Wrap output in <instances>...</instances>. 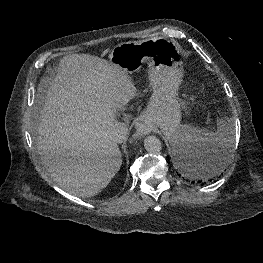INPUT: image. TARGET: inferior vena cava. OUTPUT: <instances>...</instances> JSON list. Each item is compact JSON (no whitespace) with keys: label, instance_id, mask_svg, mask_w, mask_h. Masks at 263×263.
I'll list each match as a JSON object with an SVG mask.
<instances>
[{"label":"inferior vena cava","instance_id":"inferior-vena-cava-1","mask_svg":"<svg viewBox=\"0 0 263 263\" xmlns=\"http://www.w3.org/2000/svg\"><path fill=\"white\" fill-rule=\"evenodd\" d=\"M128 134L127 127L120 122H115L111 130V139L116 143H121Z\"/></svg>","mask_w":263,"mask_h":263}]
</instances>
